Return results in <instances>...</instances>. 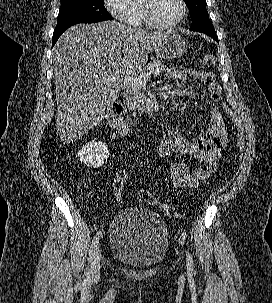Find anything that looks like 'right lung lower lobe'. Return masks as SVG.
<instances>
[{
    "instance_id": "right-lung-lower-lobe-1",
    "label": "right lung lower lobe",
    "mask_w": 272,
    "mask_h": 303,
    "mask_svg": "<svg viewBox=\"0 0 272 303\" xmlns=\"http://www.w3.org/2000/svg\"><path fill=\"white\" fill-rule=\"evenodd\" d=\"M64 31H65V30H62V31H58V32H54V33H53L52 47L55 45L56 41L58 40V38L61 36V34H62Z\"/></svg>"
}]
</instances>
